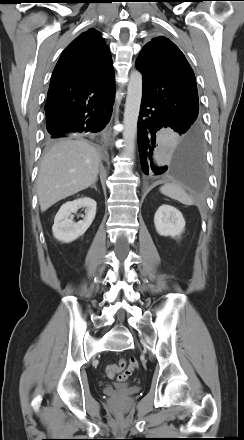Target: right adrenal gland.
<instances>
[{"label": "right adrenal gland", "instance_id": "right-adrenal-gland-1", "mask_svg": "<svg viewBox=\"0 0 244 440\" xmlns=\"http://www.w3.org/2000/svg\"><path fill=\"white\" fill-rule=\"evenodd\" d=\"M91 188H94V189L97 191L96 182L93 183V185L91 186Z\"/></svg>", "mask_w": 244, "mask_h": 440}]
</instances>
